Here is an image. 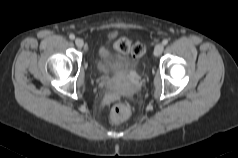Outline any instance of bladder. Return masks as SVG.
Masks as SVG:
<instances>
[{"label": "bladder", "mask_w": 238, "mask_h": 158, "mask_svg": "<svg viewBox=\"0 0 238 158\" xmlns=\"http://www.w3.org/2000/svg\"><path fill=\"white\" fill-rule=\"evenodd\" d=\"M97 68L104 74H113L131 68V63L112 55H100L96 62Z\"/></svg>", "instance_id": "bladder-1"}]
</instances>
